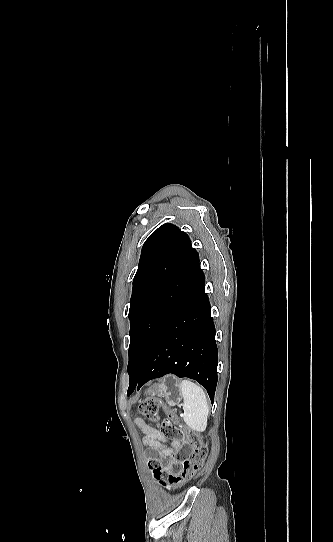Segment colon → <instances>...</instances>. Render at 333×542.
<instances>
[{"label":"colon","mask_w":333,"mask_h":542,"mask_svg":"<svg viewBox=\"0 0 333 542\" xmlns=\"http://www.w3.org/2000/svg\"><path fill=\"white\" fill-rule=\"evenodd\" d=\"M162 409L161 401L158 398L149 397L141 402L139 406L140 414L153 422H160L159 429L164 432L163 437L173 442H184V449H175L173 458L164 455L159 459L149 462V470L165 489L181 486L203 466L208 454L206 445L202 442L199 435L176 421L174 413L165 410L164 416L160 417L159 411Z\"/></svg>","instance_id":"colon-1"}]
</instances>
